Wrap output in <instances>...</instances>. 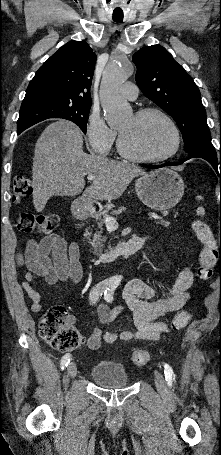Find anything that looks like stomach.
Returning a JSON list of instances; mask_svg holds the SVG:
<instances>
[{
  "label": "stomach",
  "mask_w": 221,
  "mask_h": 455,
  "mask_svg": "<svg viewBox=\"0 0 221 455\" xmlns=\"http://www.w3.org/2000/svg\"><path fill=\"white\" fill-rule=\"evenodd\" d=\"M184 181L172 169L163 168L144 174L135 182L138 198L149 208L165 211L179 203L184 194Z\"/></svg>",
  "instance_id": "obj_1"
}]
</instances>
